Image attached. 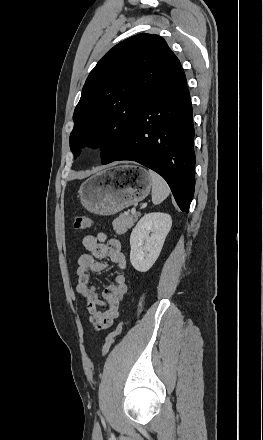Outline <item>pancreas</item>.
Masks as SVG:
<instances>
[{
  "label": "pancreas",
  "instance_id": "obj_1",
  "mask_svg": "<svg viewBox=\"0 0 263 440\" xmlns=\"http://www.w3.org/2000/svg\"><path fill=\"white\" fill-rule=\"evenodd\" d=\"M139 214L125 213L117 217L113 222V229L116 234L121 235L127 232L138 220Z\"/></svg>",
  "mask_w": 263,
  "mask_h": 440
}]
</instances>
